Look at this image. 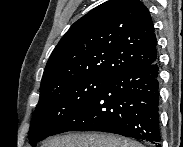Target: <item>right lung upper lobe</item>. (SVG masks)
Returning a JSON list of instances; mask_svg holds the SVG:
<instances>
[{"mask_svg": "<svg viewBox=\"0 0 183 147\" xmlns=\"http://www.w3.org/2000/svg\"><path fill=\"white\" fill-rule=\"evenodd\" d=\"M157 60L156 35L139 0H109L76 21L53 50L40 89L87 77L111 79Z\"/></svg>", "mask_w": 183, "mask_h": 147, "instance_id": "1", "label": "right lung upper lobe"}]
</instances>
